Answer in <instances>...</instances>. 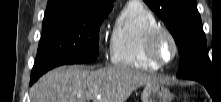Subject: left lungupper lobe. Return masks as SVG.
<instances>
[{"mask_svg": "<svg viewBox=\"0 0 221 102\" xmlns=\"http://www.w3.org/2000/svg\"><path fill=\"white\" fill-rule=\"evenodd\" d=\"M144 1L163 20L178 45L177 77L199 82L210 80L211 64L196 0Z\"/></svg>", "mask_w": 221, "mask_h": 102, "instance_id": "5c2ea615", "label": "left lung upper lobe"}]
</instances>
